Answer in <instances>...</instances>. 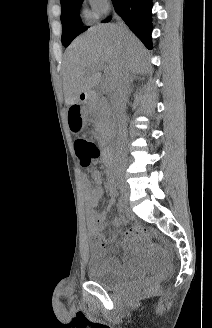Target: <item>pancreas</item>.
I'll return each mask as SVG.
<instances>
[{
    "instance_id": "1",
    "label": "pancreas",
    "mask_w": 212,
    "mask_h": 328,
    "mask_svg": "<svg viewBox=\"0 0 212 328\" xmlns=\"http://www.w3.org/2000/svg\"><path fill=\"white\" fill-rule=\"evenodd\" d=\"M92 113L96 117V132L100 140L107 139L111 135V119L108 114L107 104L98 99L92 104Z\"/></svg>"
}]
</instances>
